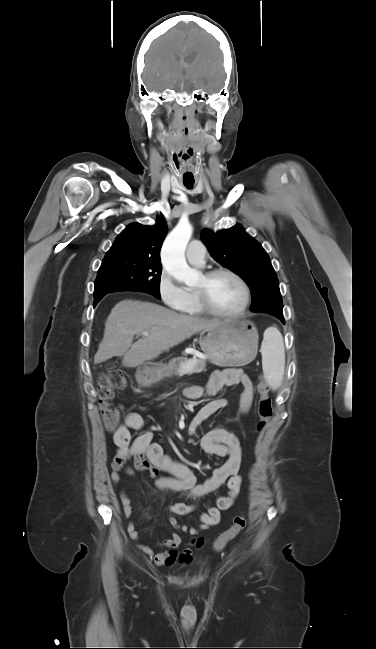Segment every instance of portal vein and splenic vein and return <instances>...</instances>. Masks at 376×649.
Wrapping results in <instances>:
<instances>
[{
    "label": "portal vein and splenic vein",
    "mask_w": 376,
    "mask_h": 649,
    "mask_svg": "<svg viewBox=\"0 0 376 649\" xmlns=\"http://www.w3.org/2000/svg\"><path fill=\"white\" fill-rule=\"evenodd\" d=\"M142 335L147 336L148 333H147V332H143ZM192 365H193V361L188 362V363L185 364L183 367L186 368V369H190V368L192 367Z\"/></svg>",
    "instance_id": "1"
}]
</instances>
